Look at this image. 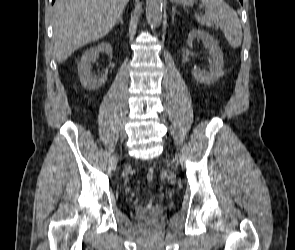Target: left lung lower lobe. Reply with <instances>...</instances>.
Listing matches in <instances>:
<instances>
[{"label":"left lung lower lobe","instance_id":"obj_1","mask_svg":"<svg viewBox=\"0 0 295 250\" xmlns=\"http://www.w3.org/2000/svg\"><path fill=\"white\" fill-rule=\"evenodd\" d=\"M240 2L243 4V0H240Z\"/></svg>","mask_w":295,"mask_h":250}]
</instances>
